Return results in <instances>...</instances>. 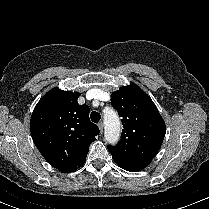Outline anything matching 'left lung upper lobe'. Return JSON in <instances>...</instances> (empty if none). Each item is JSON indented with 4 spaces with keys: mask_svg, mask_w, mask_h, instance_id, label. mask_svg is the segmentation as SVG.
Returning a JSON list of instances; mask_svg holds the SVG:
<instances>
[{
    "mask_svg": "<svg viewBox=\"0 0 209 209\" xmlns=\"http://www.w3.org/2000/svg\"><path fill=\"white\" fill-rule=\"evenodd\" d=\"M111 103L122 117L121 140L108 146L113 159L150 164L163 142L166 127L156 105L137 85L121 87Z\"/></svg>",
    "mask_w": 209,
    "mask_h": 209,
    "instance_id": "1",
    "label": "left lung upper lobe"
}]
</instances>
